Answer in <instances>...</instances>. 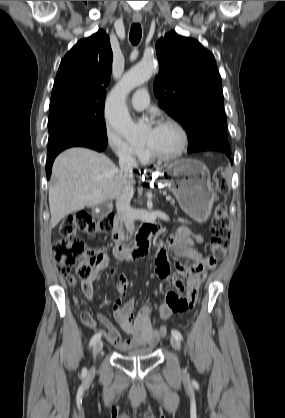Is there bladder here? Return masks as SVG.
<instances>
[{
  "label": "bladder",
  "instance_id": "obj_1",
  "mask_svg": "<svg viewBox=\"0 0 285 418\" xmlns=\"http://www.w3.org/2000/svg\"><path fill=\"white\" fill-rule=\"evenodd\" d=\"M152 352V347H134L127 352V356H148Z\"/></svg>",
  "mask_w": 285,
  "mask_h": 418
}]
</instances>
